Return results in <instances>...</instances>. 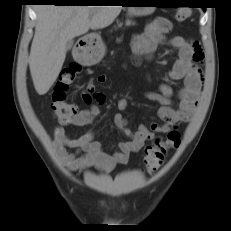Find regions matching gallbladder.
<instances>
[{"mask_svg":"<svg viewBox=\"0 0 231 231\" xmlns=\"http://www.w3.org/2000/svg\"><path fill=\"white\" fill-rule=\"evenodd\" d=\"M72 46H73V40H69V41L67 42V44H66V49H67V50H70V49L72 48Z\"/></svg>","mask_w":231,"mask_h":231,"instance_id":"bac80fb5","label":"gallbladder"}]
</instances>
